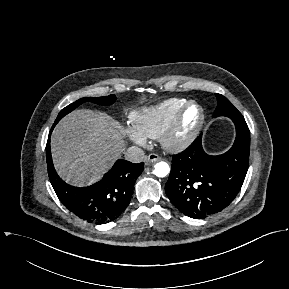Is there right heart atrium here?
Returning a JSON list of instances; mask_svg holds the SVG:
<instances>
[{
    "instance_id": "d8ad5b80",
    "label": "right heart atrium",
    "mask_w": 289,
    "mask_h": 289,
    "mask_svg": "<svg viewBox=\"0 0 289 289\" xmlns=\"http://www.w3.org/2000/svg\"><path fill=\"white\" fill-rule=\"evenodd\" d=\"M126 133L128 137L138 145H145L146 144V136L143 135L135 126H128L126 128Z\"/></svg>"
}]
</instances>
